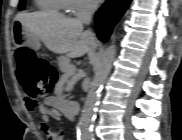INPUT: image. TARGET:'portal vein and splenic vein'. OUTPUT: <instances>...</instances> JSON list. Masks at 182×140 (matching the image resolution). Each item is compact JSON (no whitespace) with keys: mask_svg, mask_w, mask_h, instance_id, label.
Masks as SVG:
<instances>
[{"mask_svg":"<svg viewBox=\"0 0 182 140\" xmlns=\"http://www.w3.org/2000/svg\"><path fill=\"white\" fill-rule=\"evenodd\" d=\"M76 69H73L70 75H73L75 73Z\"/></svg>","mask_w":182,"mask_h":140,"instance_id":"1","label":"portal vein and splenic vein"}]
</instances>
